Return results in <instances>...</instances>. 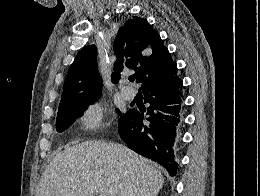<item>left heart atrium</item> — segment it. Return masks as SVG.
I'll return each instance as SVG.
<instances>
[{"mask_svg":"<svg viewBox=\"0 0 260 196\" xmlns=\"http://www.w3.org/2000/svg\"><path fill=\"white\" fill-rule=\"evenodd\" d=\"M109 192H121V190H111Z\"/></svg>","mask_w":260,"mask_h":196,"instance_id":"39dd6f15","label":"left heart atrium"}]
</instances>
